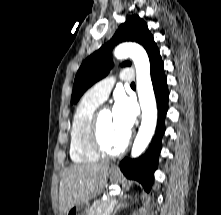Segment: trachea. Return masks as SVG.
Returning a JSON list of instances; mask_svg holds the SVG:
<instances>
[{"instance_id":"1","label":"trachea","mask_w":221,"mask_h":215,"mask_svg":"<svg viewBox=\"0 0 221 215\" xmlns=\"http://www.w3.org/2000/svg\"><path fill=\"white\" fill-rule=\"evenodd\" d=\"M131 86H135V83H132Z\"/></svg>"}]
</instances>
